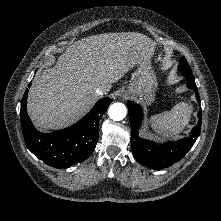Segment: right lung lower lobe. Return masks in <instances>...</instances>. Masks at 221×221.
Returning <instances> with one entry per match:
<instances>
[{
	"mask_svg": "<svg viewBox=\"0 0 221 221\" xmlns=\"http://www.w3.org/2000/svg\"><path fill=\"white\" fill-rule=\"evenodd\" d=\"M27 95L28 89L21 102L20 117L28 149L54 168H68L87 159L96 147L99 121L111 99L106 97L99 100L85 117L71 127L52 133H41L34 128L27 114Z\"/></svg>",
	"mask_w": 221,
	"mask_h": 221,
	"instance_id": "1",
	"label": "right lung lower lobe"
}]
</instances>
